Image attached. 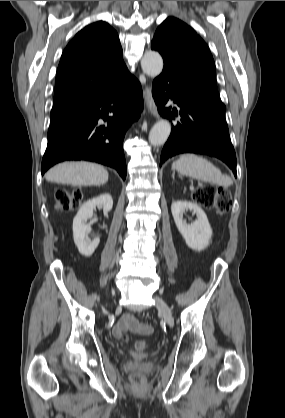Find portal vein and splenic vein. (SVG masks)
<instances>
[{"mask_svg":"<svg viewBox=\"0 0 285 418\" xmlns=\"http://www.w3.org/2000/svg\"><path fill=\"white\" fill-rule=\"evenodd\" d=\"M198 185H199V186H201V185H202V183H201V182H198Z\"/></svg>","mask_w":285,"mask_h":418,"instance_id":"portal-vein-and-splenic-vein-1","label":"portal vein and splenic vein"}]
</instances>
